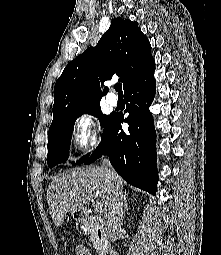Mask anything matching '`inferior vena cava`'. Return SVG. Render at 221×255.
I'll list each match as a JSON object with an SVG mask.
<instances>
[{
  "instance_id": "inferior-vena-cava-1",
  "label": "inferior vena cava",
  "mask_w": 221,
  "mask_h": 255,
  "mask_svg": "<svg viewBox=\"0 0 221 255\" xmlns=\"http://www.w3.org/2000/svg\"><path fill=\"white\" fill-rule=\"evenodd\" d=\"M102 169L105 177L109 181H113L116 172L114 171L108 158L102 159ZM123 192L122 187L116 184L113 187L112 196L105 209V231L110 240L114 242L118 238V232L123 222Z\"/></svg>"
}]
</instances>
